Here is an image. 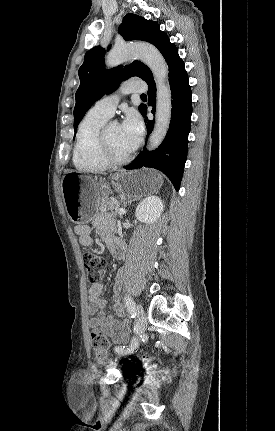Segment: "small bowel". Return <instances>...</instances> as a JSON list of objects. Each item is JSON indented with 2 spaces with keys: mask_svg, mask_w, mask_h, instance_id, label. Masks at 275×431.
Instances as JSON below:
<instances>
[{
  "mask_svg": "<svg viewBox=\"0 0 275 431\" xmlns=\"http://www.w3.org/2000/svg\"><path fill=\"white\" fill-rule=\"evenodd\" d=\"M96 230L101 239L106 243L110 253L117 259H122L126 254L125 243L117 238L107 220L99 219L95 223ZM75 232L79 236L80 244L90 246L92 244V228L88 225H78ZM103 284H93L89 290L88 312L92 316L89 320L91 328L101 329L105 335L111 338L113 344H124L129 339V326L127 321H122L124 309L119 301L113 304L114 315L108 316L103 311L106 301L102 298Z\"/></svg>",
  "mask_w": 275,
  "mask_h": 431,
  "instance_id": "c3829d8e",
  "label": "small bowel"
}]
</instances>
